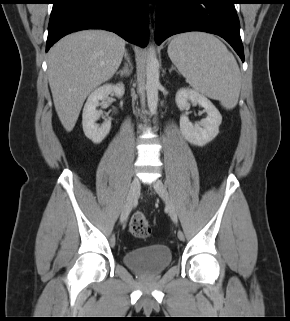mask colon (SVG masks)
<instances>
[{"mask_svg":"<svg viewBox=\"0 0 290 321\" xmlns=\"http://www.w3.org/2000/svg\"><path fill=\"white\" fill-rule=\"evenodd\" d=\"M131 234L139 239H146L151 234V226L147 217L143 213H135L129 222Z\"/></svg>","mask_w":290,"mask_h":321,"instance_id":"obj_1","label":"colon"}]
</instances>
